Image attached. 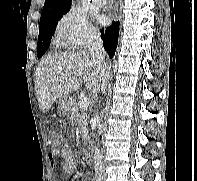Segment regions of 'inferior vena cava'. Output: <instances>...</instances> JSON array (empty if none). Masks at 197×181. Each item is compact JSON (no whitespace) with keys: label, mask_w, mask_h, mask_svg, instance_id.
Segmentation results:
<instances>
[{"label":"inferior vena cava","mask_w":197,"mask_h":181,"mask_svg":"<svg viewBox=\"0 0 197 181\" xmlns=\"http://www.w3.org/2000/svg\"><path fill=\"white\" fill-rule=\"evenodd\" d=\"M88 49L89 55L93 63L97 66L101 76L103 77V84L101 87L102 93H105L106 86L109 78V67L105 62V50L103 47L102 39L100 33L92 32L89 36L88 40ZM99 124V120L97 119V125ZM102 154L99 147H95L94 151V170H95V181H102L103 179V162H102Z\"/></svg>","instance_id":"obj_1"}]
</instances>
